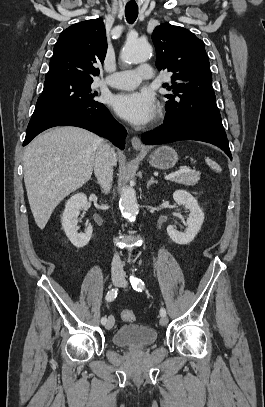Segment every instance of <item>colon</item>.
Returning a JSON list of instances; mask_svg holds the SVG:
<instances>
[{
	"label": "colon",
	"mask_w": 265,
	"mask_h": 407,
	"mask_svg": "<svg viewBox=\"0 0 265 407\" xmlns=\"http://www.w3.org/2000/svg\"><path fill=\"white\" fill-rule=\"evenodd\" d=\"M121 318L125 322H132L135 320V314L132 310L124 309L121 312Z\"/></svg>",
	"instance_id": "obj_1"
}]
</instances>
